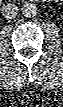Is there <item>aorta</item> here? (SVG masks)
<instances>
[{"label":"aorta","instance_id":"obj_1","mask_svg":"<svg viewBox=\"0 0 63 107\" xmlns=\"http://www.w3.org/2000/svg\"><path fill=\"white\" fill-rule=\"evenodd\" d=\"M22 14L26 18H31L37 15V7L33 3H26L22 7Z\"/></svg>","mask_w":63,"mask_h":107}]
</instances>
